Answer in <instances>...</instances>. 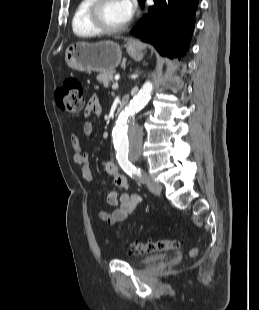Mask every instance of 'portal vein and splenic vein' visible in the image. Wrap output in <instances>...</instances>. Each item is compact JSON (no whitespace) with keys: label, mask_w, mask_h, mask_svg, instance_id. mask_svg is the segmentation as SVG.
Here are the masks:
<instances>
[{"label":"portal vein and splenic vein","mask_w":259,"mask_h":310,"mask_svg":"<svg viewBox=\"0 0 259 310\" xmlns=\"http://www.w3.org/2000/svg\"><path fill=\"white\" fill-rule=\"evenodd\" d=\"M118 88V83H114L113 85H112V89H117Z\"/></svg>","instance_id":"obj_1"}]
</instances>
